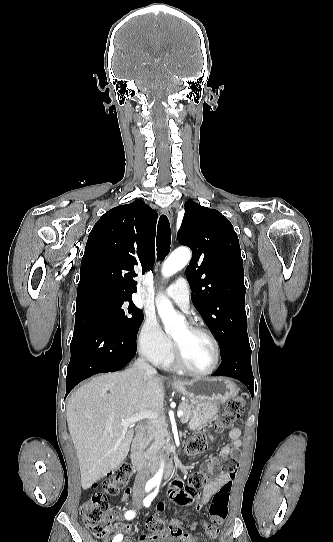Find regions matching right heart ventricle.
Segmentation results:
<instances>
[{
  "instance_id": "obj_1",
  "label": "right heart ventricle",
  "mask_w": 333,
  "mask_h": 542,
  "mask_svg": "<svg viewBox=\"0 0 333 542\" xmlns=\"http://www.w3.org/2000/svg\"><path fill=\"white\" fill-rule=\"evenodd\" d=\"M154 362L161 367L173 366V361L170 358L169 352L154 358Z\"/></svg>"
}]
</instances>
